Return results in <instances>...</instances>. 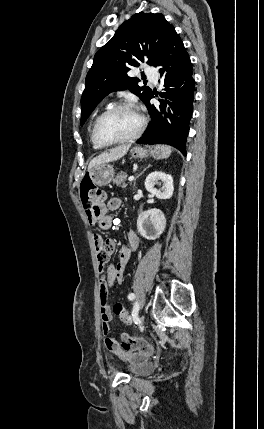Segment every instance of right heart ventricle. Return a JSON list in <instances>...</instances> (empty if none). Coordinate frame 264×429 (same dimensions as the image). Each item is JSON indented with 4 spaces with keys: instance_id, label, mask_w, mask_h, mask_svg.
Masks as SVG:
<instances>
[{
    "instance_id": "1",
    "label": "right heart ventricle",
    "mask_w": 264,
    "mask_h": 429,
    "mask_svg": "<svg viewBox=\"0 0 264 429\" xmlns=\"http://www.w3.org/2000/svg\"><path fill=\"white\" fill-rule=\"evenodd\" d=\"M97 118V117H96ZM96 120V119H95ZM95 122V121H94ZM90 140H91V143H92V145H93V147L95 148V149H100V148H102V146H100L99 144H97L96 143V141L94 140V138H93V127H92V129H91V133H90Z\"/></svg>"
}]
</instances>
